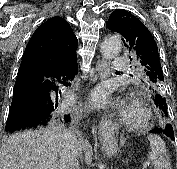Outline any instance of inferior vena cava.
<instances>
[{
	"instance_id": "602c4592",
	"label": "inferior vena cava",
	"mask_w": 177,
	"mask_h": 169,
	"mask_svg": "<svg viewBox=\"0 0 177 169\" xmlns=\"http://www.w3.org/2000/svg\"><path fill=\"white\" fill-rule=\"evenodd\" d=\"M79 142L75 133L66 131L59 142L60 169H80L78 162Z\"/></svg>"
}]
</instances>
